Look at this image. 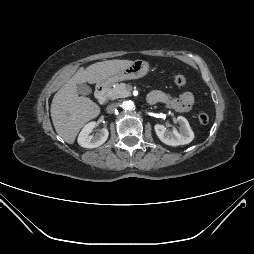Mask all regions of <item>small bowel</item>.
<instances>
[{"label": "small bowel", "instance_id": "obj_1", "mask_svg": "<svg viewBox=\"0 0 254 254\" xmlns=\"http://www.w3.org/2000/svg\"><path fill=\"white\" fill-rule=\"evenodd\" d=\"M147 100L150 104L163 103L167 108L178 112H188L194 105V96L189 91H185L175 98L163 91L154 90L148 95Z\"/></svg>", "mask_w": 254, "mask_h": 254}]
</instances>
